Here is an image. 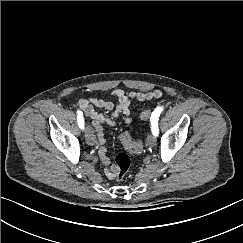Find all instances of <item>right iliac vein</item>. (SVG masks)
<instances>
[{
  "mask_svg": "<svg viewBox=\"0 0 243 243\" xmlns=\"http://www.w3.org/2000/svg\"><path fill=\"white\" fill-rule=\"evenodd\" d=\"M85 139L88 145H94L95 144V136L93 133V129L91 128L90 125L86 126L85 130Z\"/></svg>",
  "mask_w": 243,
  "mask_h": 243,
  "instance_id": "1",
  "label": "right iliac vein"
}]
</instances>
